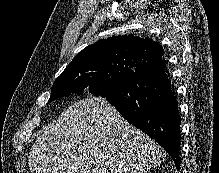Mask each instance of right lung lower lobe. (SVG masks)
Wrapping results in <instances>:
<instances>
[{"instance_id":"98d812e1","label":"right lung lower lobe","mask_w":219,"mask_h":173,"mask_svg":"<svg viewBox=\"0 0 219 173\" xmlns=\"http://www.w3.org/2000/svg\"><path fill=\"white\" fill-rule=\"evenodd\" d=\"M105 98L129 123L157 141L179 170L181 117L163 60L141 63Z\"/></svg>"}]
</instances>
